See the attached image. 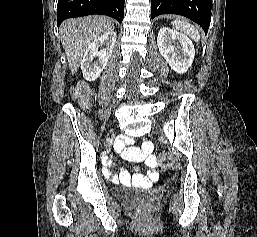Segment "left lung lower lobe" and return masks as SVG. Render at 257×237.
Instances as JSON below:
<instances>
[{"label":"left lung lower lobe","instance_id":"left-lung-lower-lobe-1","mask_svg":"<svg viewBox=\"0 0 257 237\" xmlns=\"http://www.w3.org/2000/svg\"><path fill=\"white\" fill-rule=\"evenodd\" d=\"M161 14H177L198 23L208 31L211 21V0H151V18Z\"/></svg>","mask_w":257,"mask_h":237}]
</instances>
